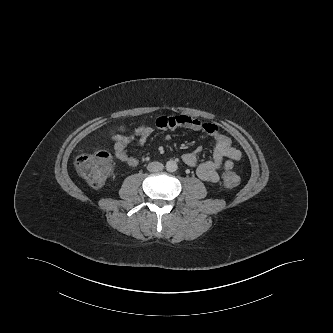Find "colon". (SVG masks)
<instances>
[{
	"instance_id": "colon-1",
	"label": "colon",
	"mask_w": 333,
	"mask_h": 333,
	"mask_svg": "<svg viewBox=\"0 0 333 333\" xmlns=\"http://www.w3.org/2000/svg\"><path fill=\"white\" fill-rule=\"evenodd\" d=\"M75 166L78 174L92 187H101L112 170V157L105 150L81 154L76 158ZM240 178L235 172H228L223 178V185L234 188Z\"/></svg>"
}]
</instances>
